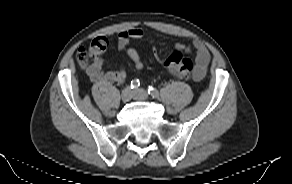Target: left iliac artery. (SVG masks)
Returning <instances> with one entry per match:
<instances>
[{"mask_svg": "<svg viewBox=\"0 0 292 184\" xmlns=\"http://www.w3.org/2000/svg\"><path fill=\"white\" fill-rule=\"evenodd\" d=\"M148 93L153 97L158 99L159 98V92L156 88L149 86L148 87Z\"/></svg>", "mask_w": 292, "mask_h": 184, "instance_id": "44dca946", "label": "left iliac artery"}]
</instances>
